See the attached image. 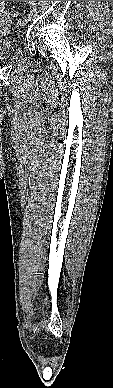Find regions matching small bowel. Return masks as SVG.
<instances>
[{"mask_svg":"<svg viewBox=\"0 0 113 388\" xmlns=\"http://www.w3.org/2000/svg\"><path fill=\"white\" fill-rule=\"evenodd\" d=\"M5 15V12L3 10V7H2V1H0V20H1V16H4Z\"/></svg>","mask_w":113,"mask_h":388,"instance_id":"c3829d8e","label":"small bowel"}]
</instances>
